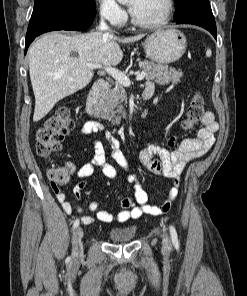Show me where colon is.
I'll use <instances>...</instances> for the list:
<instances>
[{"label": "colon", "instance_id": "obj_1", "mask_svg": "<svg viewBox=\"0 0 247 296\" xmlns=\"http://www.w3.org/2000/svg\"><path fill=\"white\" fill-rule=\"evenodd\" d=\"M205 108L202 95L195 91L186 109L182 127L191 130L193 126L203 117ZM75 127V119L72 117L68 108H60L36 131V153L46 161L61 151L65 135ZM176 145V139L171 138L168 146ZM51 182L57 185L66 184L71 177L69 168L51 167L48 172Z\"/></svg>", "mask_w": 247, "mask_h": 296}]
</instances>
